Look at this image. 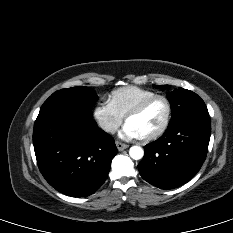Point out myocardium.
I'll list each match as a JSON object with an SVG mask.
<instances>
[{
	"label": "myocardium",
	"mask_w": 233,
	"mask_h": 233,
	"mask_svg": "<svg viewBox=\"0 0 233 233\" xmlns=\"http://www.w3.org/2000/svg\"><path fill=\"white\" fill-rule=\"evenodd\" d=\"M157 100H162L165 105H166V116H165V120L163 122V124L161 125V127L155 131L154 133L147 135V136H143L140 137L141 140L145 141V142H149V141H153L158 139L159 137H161L166 130L168 129L169 125H170V121H171V117H172V105L170 100L168 99V97H166L165 95H160V94H156L154 96H151L147 99H145L144 101H142L140 104H138L136 107H134L132 110H130L126 116H125V122L127 123V121L135 116L140 115L142 112H144L153 102L157 101Z\"/></svg>",
	"instance_id": "myocardium-1"
}]
</instances>
